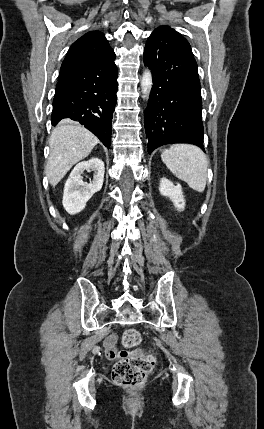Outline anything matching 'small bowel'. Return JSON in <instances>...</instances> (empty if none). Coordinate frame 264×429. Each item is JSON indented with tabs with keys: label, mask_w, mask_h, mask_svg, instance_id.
I'll return each instance as SVG.
<instances>
[{
	"label": "small bowel",
	"mask_w": 264,
	"mask_h": 429,
	"mask_svg": "<svg viewBox=\"0 0 264 429\" xmlns=\"http://www.w3.org/2000/svg\"><path fill=\"white\" fill-rule=\"evenodd\" d=\"M116 342H117V335L116 334H110L104 342L106 355L110 359H116L120 357L123 352H119L116 348Z\"/></svg>",
	"instance_id": "obj_1"
}]
</instances>
